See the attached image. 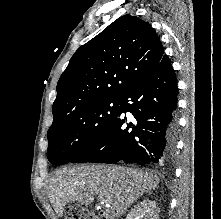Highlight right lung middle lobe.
I'll list each match as a JSON object with an SVG mask.
<instances>
[{
  "label": "right lung middle lobe",
  "instance_id": "dd1d6c3e",
  "mask_svg": "<svg viewBox=\"0 0 221 219\" xmlns=\"http://www.w3.org/2000/svg\"><path fill=\"white\" fill-rule=\"evenodd\" d=\"M121 99L83 104L53 121L48 130V160L62 165L88 150L118 115Z\"/></svg>",
  "mask_w": 221,
  "mask_h": 219
}]
</instances>
